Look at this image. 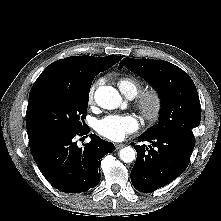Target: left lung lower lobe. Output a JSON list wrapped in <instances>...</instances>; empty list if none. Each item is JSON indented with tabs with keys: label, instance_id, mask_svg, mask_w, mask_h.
Segmentation results:
<instances>
[{
	"label": "left lung lower lobe",
	"instance_id": "left-lung-lower-lobe-1",
	"mask_svg": "<svg viewBox=\"0 0 221 221\" xmlns=\"http://www.w3.org/2000/svg\"><path fill=\"white\" fill-rule=\"evenodd\" d=\"M139 140L151 143L136 145L138 153L131 171L133 186L140 192L151 193L172 182L187 168L195 143L173 136H149Z\"/></svg>",
	"mask_w": 221,
	"mask_h": 221
}]
</instances>
